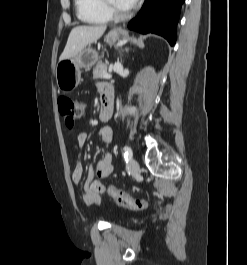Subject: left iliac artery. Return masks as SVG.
<instances>
[{"instance_id":"obj_1","label":"left iliac artery","mask_w":247,"mask_h":265,"mask_svg":"<svg viewBox=\"0 0 247 265\" xmlns=\"http://www.w3.org/2000/svg\"><path fill=\"white\" fill-rule=\"evenodd\" d=\"M123 151H124L125 161L126 163H128L132 158V150L130 147L124 146Z\"/></svg>"}]
</instances>
